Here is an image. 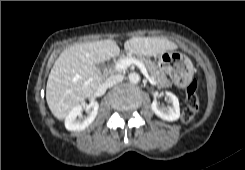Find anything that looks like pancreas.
I'll return each mask as SVG.
<instances>
[{
	"instance_id": "pancreas-1",
	"label": "pancreas",
	"mask_w": 245,
	"mask_h": 170,
	"mask_svg": "<svg viewBox=\"0 0 245 170\" xmlns=\"http://www.w3.org/2000/svg\"><path fill=\"white\" fill-rule=\"evenodd\" d=\"M125 58H134L142 62L145 65L150 77L156 82L158 87L165 88L172 86V82L167 78L166 74L163 71L159 70L156 64L150 59L145 58L141 55H134L131 53L120 56V60Z\"/></svg>"
}]
</instances>
